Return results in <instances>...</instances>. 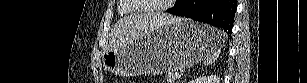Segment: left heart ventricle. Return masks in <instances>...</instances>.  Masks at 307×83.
<instances>
[{"label": "left heart ventricle", "instance_id": "obj_1", "mask_svg": "<svg viewBox=\"0 0 307 83\" xmlns=\"http://www.w3.org/2000/svg\"><path fill=\"white\" fill-rule=\"evenodd\" d=\"M138 2L142 3L146 8H153L162 5L163 3L167 2V0H142Z\"/></svg>", "mask_w": 307, "mask_h": 83}]
</instances>
